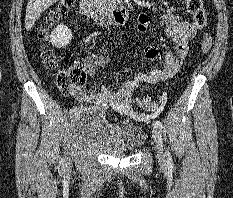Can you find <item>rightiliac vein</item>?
Masks as SVG:
<instances>
[{"mask_svg":"<svg viewBox=\"0 0 233 198\" xmlns=\"http://www.w3.org/2000/svg\"><path fill=\"white\" fill-rule=\"evenodd\" d=\"M73 158H74L73 153H71L70 151H68V152L66 153V155H65V160H64L65 165H66V166L70 165L71 162H72V160H73Z\"/></svg>","mask_w":233,"mask_h":198,"instance_id":"1","label":"right iliac vein"}]
</instances>
